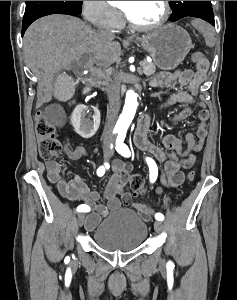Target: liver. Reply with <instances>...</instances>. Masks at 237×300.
<instances>
[{"mask_svg": "<svg viewBox=\"0 0 237 300\" xmlns=\"http://www.w3.org/2000/svg\"><path fill=\"white\" fill-rule=\"evenodd\" d=\"M23 51L30 69L41 71L38 93L45 91L46 95L53 91V75L72 69L82 55H89L98 67H110L121 55L118 41L102 39L84 21L70 15H49L32 23L23 37Z\"/></svg>", "mask_w": 237, "mask_h": 300, "instance_id": "liver-1", "label": "liver"}]
</instances>
